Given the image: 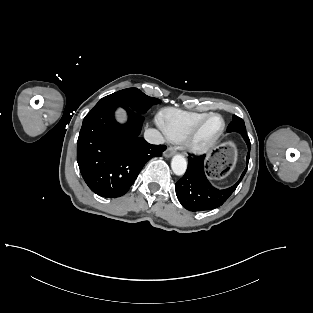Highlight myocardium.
<instances>
[{
    "label": "myocardium",
    "mask_w": 313,
    "mask_h": 313,
    "mask_svg": "<svg viewBox=\"0 0 313 313\" xmlns=\"http://www.w3.org/2000/svg\"><path fill=\"white\" fill-rule=\"evenodd\" d=\"M212 117H219L222 122L221 129L219 132L207 143H199L197 141V136L202 129V127L205 125V123L211 119ZM226 129V122L224 118L218 114V113H210L206 117H204L200 122H198L183 138V146L184 148L191 154L194 155H202L205 153H208L210 150H212L218 141L221 139L223 136L224 132Z\"/></svg>",
    "instance_id": "1"
}]
</instances>
